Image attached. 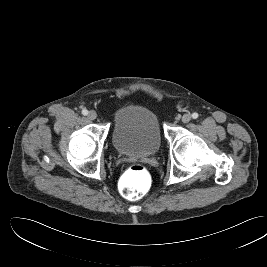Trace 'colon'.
<instances>
[{
    "instance_id": "obj_1",
    "label": "colon",
    "mask_w": 267,
    "mask_h": 267,
    "mask_svg": "<svg viewBox=\"0 0 267 267\" xmlns=\"http://www.w3.org/2000/svg\"><path fill=\"white\" fill-rule=\"evenodd\" d=\"M151 177L141 164H134L122 175L119 182L120 194L128 200L143 197L149 190Z\"/></svg>"
}]
</instances>
